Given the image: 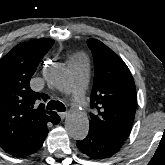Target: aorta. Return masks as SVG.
Returning <instances> with one entry per match:
<instances>
[{
  "mask_svg": "<svg viewBox=\"0 0 165 165\" xmlns=\"http://www.w3.org/2000/svg\"><path fill=\"white\" fill-rule=\"evenodd\" d=\"M65 74V68L57 63L47 65L43 71L45 80L58 88L64 86L66 80ZM65 128L73 139H84L89 131V120L87 115L79 110L72 111L66 119Z\"/></svg>",
  "mask_w": 165,
  "mask_h": 165,
  "instance_id": "aorta-1",
  "label": "aorta"
}]
</instances>
